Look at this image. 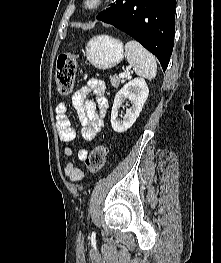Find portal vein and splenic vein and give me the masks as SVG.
Masks as SVG:
<instances>
[{
  "label": "portal vein and splenic vein",
  "mask_w": 221,
  "mask_h": 263,
  "mask_svg": "<svg viewBox=\"0 0 221 263\" xmlns=\"http://www.w3.org/2000/svg\"><path fill=\"white\" fill-rule=\"evenodd\" d=\"M127 76H129V73H128V72H124V73H120V74H119V77H120V78H125V77H127Z\"/></svg>",
  "instance_id": "1"
}]
</instances>
